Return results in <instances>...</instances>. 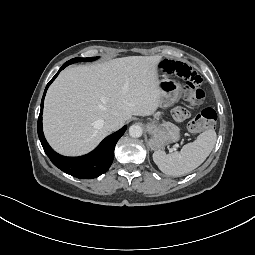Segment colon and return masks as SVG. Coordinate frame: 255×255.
I'll return each instance as SVG.
<instances>
[{
	"label": "colon",
	"mask_w": 255,
	"mask_h": 255,
	"mask_svg": "<svg viewBox=\"0 0 255 255\" xmlns=\"http://www.w3.org/2000/svg\"><path fill=\"white\" fill-rule=\"evenodd\" d=\"M164 72L175 75L182 79L187 85V98L192 103H201L205 98V92L201 89L202 78L187 64L165 59L161 63ZM217 120V113L212 108L203 109L189 123L192 133H199L205 129L212 128Z\"/></svg>",
	"instance_id": "1"
}]
</instances>
